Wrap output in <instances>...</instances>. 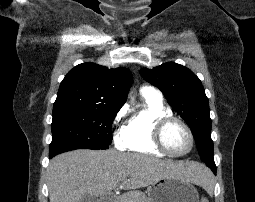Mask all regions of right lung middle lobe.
Returning a JSON list of instances; mask_svg holds the SVG:
<instances>
[{
	"mask_svg": "<svg viewBox=\"0 0 255 202\" xmlns=\"http://www.w3.org/2000/svg\"><path fill=\"white\" fill-rule=\"evenodd\" d=\"M119 109H80L53 115L49 157L74 149H107Z\"/></svg>",
	"mask_w": 255,
	"mask_h": 202,
	"instance_id": "right-lung-middle-lobe-1",
	"label": "right lung middle lobe"
}]
</instances>
